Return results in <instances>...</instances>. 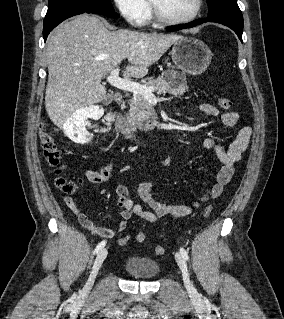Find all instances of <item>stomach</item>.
I'll return each instance as SVG.
<instances>
[{
	"label": "stomach",
	"mask_w": 284,
	"mask_h": 319,
	"mask_svg": "<svg viewBox=\"0 0 284 319\" xmlns=\"http://www.w3.org/2000/svg\"><path fill=\"white\" fill-rule=\"evenodd\" d=\"M172 60L183 72L199 75L211 63L212 53L201 40L192 37H182L177 40L171 51Z\"/></svg>",
	"instance_id": "stomach-1"
}]
</instances>
